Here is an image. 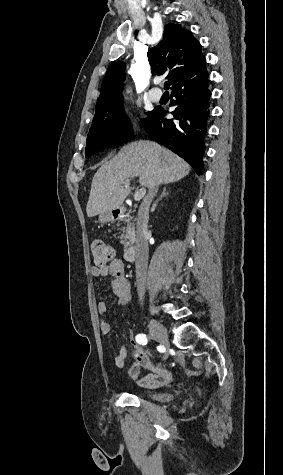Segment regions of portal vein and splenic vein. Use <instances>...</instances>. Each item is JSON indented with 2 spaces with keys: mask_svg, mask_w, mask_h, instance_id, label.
<instances>
[{
  "mask_svg": "<svg viewBox=\"0 0 283 475\" xmlns=\"http://www.w3.org/2000/svg\"><path fill=\"white\" fill-rule=\"evenodd\" d=\"M130 184V180H125V182H123V186H121V188H126V186H129ZM146 194V190L145 188H140V190H138V192H136L135 196H134V200H136V202H139V200H142L143 196H145Z\"/></svg>",
  "mask_w": 283,
  "mask_h": 475,
  "instance_id": "1",
  "label": "portal vein and splenic vein"
}]
</instances>
